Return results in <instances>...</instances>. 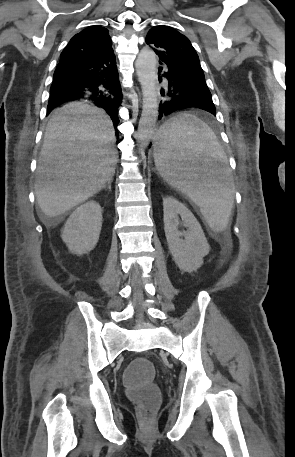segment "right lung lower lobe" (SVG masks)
Wrapping results in <instances>:
<instances>
[{"mask_svg": "<svg viewBox=\"0 0 295 457\" xmlns=\"http://www.w3.org/2000/svg\"><path fill=\"white\" fill-rule=\"evenodd\" d=\"M80 98L91 100L104 108L116 129L122 91L113 49L91 59L57 65L50 88L47 114L62 103Z\"/></svg>", "mask_w": 295, "mask_h": 457, "instance_id": "1", "label": "right lung lower lobe"}]
</instances>
